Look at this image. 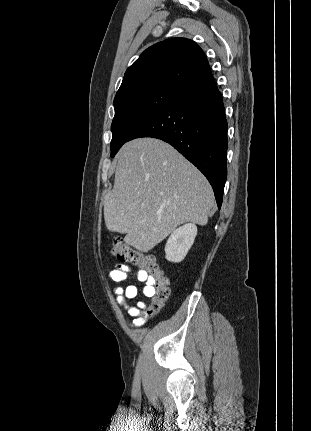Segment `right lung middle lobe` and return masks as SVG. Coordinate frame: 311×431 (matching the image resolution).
I'll list each match as a JSON object with an SVG mask.
<instances>
[{"mask_svg":"<svg viewBox=\"0 0 311 431\" xmlns=\"http://www.w3.org/2000/svg\"><path fill=\"white\" fill-rule=\"evenodd\" d=\"M180 95L154 88L130 91L114 98L111 157L129 140L132 132Z\"/></svg>","mask_w":311,"mask_h":431,"instance_id":"obj_1","label":"right lung middle lobe"}]
</instances>
